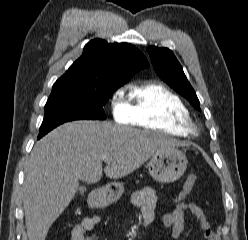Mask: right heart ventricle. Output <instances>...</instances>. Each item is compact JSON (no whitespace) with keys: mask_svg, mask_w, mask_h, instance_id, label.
Listing matches in <instances>:
<instances>
[{"mask_svg":"<svg viewBox=\"0 0 248 240\" xmlns=\"http://www.w3.org/2000/svg\"><path fill=\"white\" fill-rule=\"evenodd\" d=\"M129 123L143 129L178 137L194 132L191 115L178 94L158 82L134 85L129 93Z\"/></svg>","mask_w":248,"mask_h":240,"instance_id":"1","label":"right heart ventricle"}]
</instances>
